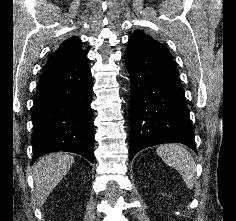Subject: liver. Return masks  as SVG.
<instances>
[{"mask_svg": "<svg viewBox=\"0 0 236 221\" xmlns=\"http://www.w3.org/2000/svg\"><path fill=\"white\" fill-rule=\"evenodd\" d=\"M73 163L74 157L64 152L45 155L36 162L33 178L38 206L45 203L49 194L68 173Z\"/></svg>", "mask_w": 236, "mask_h": 221, "instance_id": "obj_1", "label": "liver"}]
</instances>
